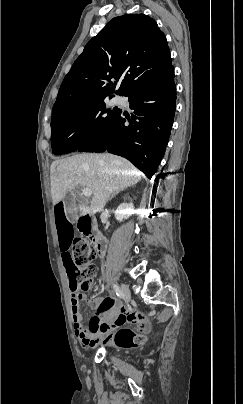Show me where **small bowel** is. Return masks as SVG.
Masks as SVG:
<instances>
[{"mask_svg": "<svg viewBox=\"0 0 243 404\" xmlns=\"http://www.w3.org/2000/svg\"><path fill=\"white\" fill-rule=\"evenodd\" d=\"M54 219L59 239L62 262L69 277V287L71 295V312L74 323L75 335L86 348H93L108 340L112 329L123 328L127 325H136L137 328L146 332L148 329L145 320L136 312L131 310H115L108 320H103L102 315L110 310L115 303L114 298H95L90 301L91 307L96 314L91 318L87 327L83 324L82 316L79 312V304L85 300L82 293L77 292L78 286L74 279V267L70 247L73 240V225L67 216L66 207L63 202H58L54 206Z\"/></svg>", "mask_w": 243, "mask_h": 404, "instance_id": "obj_1", "label": "small bowel"}]
</instances>
